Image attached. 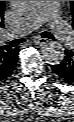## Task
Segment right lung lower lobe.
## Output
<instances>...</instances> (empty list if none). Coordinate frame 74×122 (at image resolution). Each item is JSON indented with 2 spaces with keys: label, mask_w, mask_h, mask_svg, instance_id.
Wrapping results in <instances>:
<instances>
[{
  "label": "right lung lower lobe",
  "mask_w": 74,
  "mask_h": 122,
  "mask_svg": "<svg viewBox=\"0 0 74 122\" xmlns=\"http://www.w3.org/2000/svg\"><path fill=\"white\" fill-rule=\"evenodd\" d=\"M18 52H19V49L17 48V50L14 53L12 60L10 61V63L6 67L0 66V81L7 79L13 73V71L16 67Z\"/></svg>",
  "instance_id": "1"
}]
</instances>
